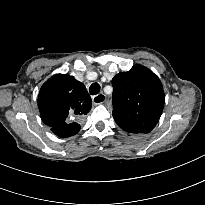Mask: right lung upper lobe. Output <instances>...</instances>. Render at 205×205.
<instances>
[{"label": "right lung upper lobe", "instance_id": "cb5924a9", "mask_svg": "<svg viewBox=\"0 0 205 205\" xmlns=\"http://www.w3.org/2000/svg\"><path fill=\"white\" fill-rule=\"evenodd\" d=\"M91 105L84 84L69 74L52 76L42 85L38 95L42 121L62 138L78 133L80 125L75 121L86 115Z\"/></svg>", "mask_w": 205, "mask_h": 205}]
</instances>
